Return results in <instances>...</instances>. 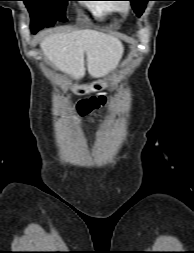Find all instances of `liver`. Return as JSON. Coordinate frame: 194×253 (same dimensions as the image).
Wrapping results in <instances>:
<instances>
[{
  "instance_id": "6515ba94",
  "label": "liver",
  "mask_w": 194,
  "mask_h": 253,
  "mask_svg": "<svg viewBox=\"0 0 194 253\" xmlns=\"http://www.w3.org/2000/svg\"><path fill=\"white\" fill-rule=\"evenodd\" d=\"M46 58L59 70L80 79L85 75L84 57L92 77L114 70L123 54L119 39L96 30L55 33L40 43Z\"/></svg>"
}]
</instances>
